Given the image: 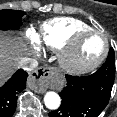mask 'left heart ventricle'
Masks as SVG:
<instances>
[{
	"instance_id": "left-heart-ventricle-1",
	"label": "left heart ventricle",
	"mask_w": 117,
	"mask_h": 117,
	"mask_svg": "<svg viewBox=\"0 0 117 117\" xmlns=\"http://www.w3.org/2000/svg\"><path fill=\"white\" fill-rule=\"evenodd\" d=\"M104 48L103 39L98 35H90L81 40L75 53L79 63H89L100 56Z\"/></svg>"
}]
</instances>
